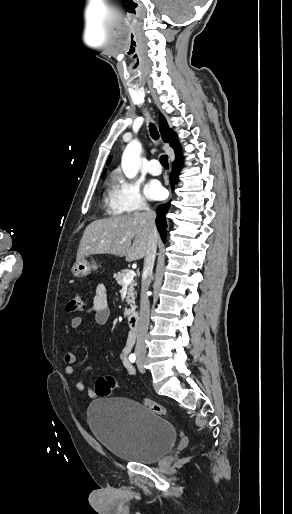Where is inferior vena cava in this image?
Masks as SVG:
<instances>
[{
	"instance_id": "602c4592",
	"label": "inferior vena cava",
	"mask_w": 292,
	"mask_h": 514,
	"mask_svg": "<svg viewBox=\"0 0 292 514\" xmlns=\"http://www.w3.org/2000/svg\"><path fill=\"white\" fill-rule=\"evenodd\" d=\"M147 218L148 246L146 256L144 258L143 280L141 282L140 320L137 332V344L135 348L136 356L146 354L145 338L148 332L150 316V302L148 300L147 292L151 282L158 240V234L155 226V212L147 210Z\"/></svg>"
}]
</instances>
